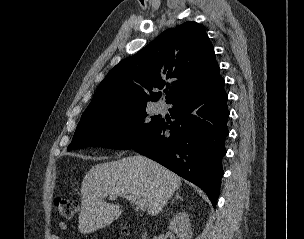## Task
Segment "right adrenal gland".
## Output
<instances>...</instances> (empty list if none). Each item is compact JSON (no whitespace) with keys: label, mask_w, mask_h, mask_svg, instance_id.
I'll list each match as a JSON object with an SVG mask.
<instances>
[{"label":"right adrenal gland","mask_w":304,"mask_h":239,"mask_svg":"<svg viewBox=\"0 0 304 239\" xmlns=\"http://www.w3.org/2000/svg\"><path fill=\"white\" fill-rule=\"evenodd\" d=\"M182 200L181 196L179 195V193H176L175 198L172 200L171 204H173L174 200Z\"/></svg>","instance_id":"right-adrenal-gland-1"}]
</instances>
